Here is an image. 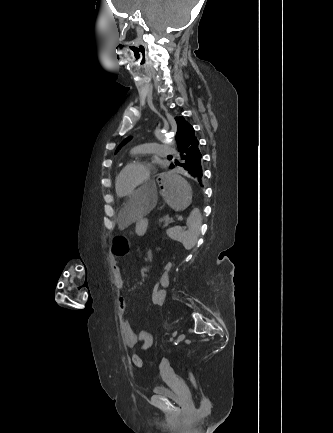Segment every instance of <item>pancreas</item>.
Returning a JSON list of instances; mask_svg holds the SVG:
<instances>
[{
  "label": "pancreas",
  "instance_id": "obj_1",
  "mask_svg": "<svg viewBox=\"0 0 333 433\" xmlns=\"http://www.w3.org/2000/svg\"><path fill=\"white\" fill-rule=\"evenodd\" d=\"M173 219L170 218L168 215L163 216L162 218L159 219V224L164 223V226H167L168 224L172 223Z\"/></svg>",
  "mask_w": 333,
  "mask_h": 433
}]
</instances>
